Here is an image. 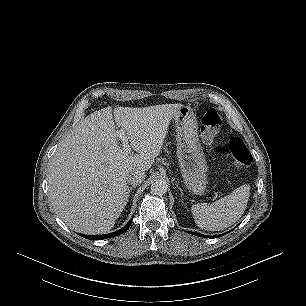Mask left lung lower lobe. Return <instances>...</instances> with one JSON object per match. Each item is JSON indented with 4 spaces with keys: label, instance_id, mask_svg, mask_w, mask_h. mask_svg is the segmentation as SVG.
<instances>
[{
    "label": "left lung lower lobe",
    "instance_id": "obj_1",
    "mask_svg": "<svg viewBox=\"0 0 306 306\" xmlns=\"http://www.w3.org/2000/svg\"><path fill=\"white\" fill-rule=\"evenodd\" d=\"M193 235H196V236H200V237H209V238H215V237H220V236H223V235H215V236H207V235H202V234H199V233H196V232H189Z\"/></svg>",
    "mask_w": 306,
    "mask_h": 306
}]
</instances>
